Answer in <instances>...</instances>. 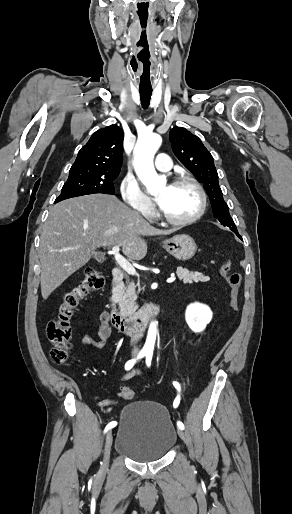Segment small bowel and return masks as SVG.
I'll return each instance as SVG.
<instances>
[{"mask_svg":"<svg viewBox=\"0 0 292 514\" xmlns=\"http://www.w3.org/2000/svg\"><path fill=\"white\" fill-rule=\"evenodd\" d=\"M97 329L98 337L95 338L91 335L84 334L78 338V341L82 345L92 346L98 349L105 347L107 341L112 336L113 328L110 325L109 321V313L108 311H102L99 317V322L95 324ZM134 375V371L128 372L123 375L124 380L130 379ZM116 396H120V393H116ZM91 400H94V397H91ZM97 404L102 406L104 404H108L109 406H117L119 401L117 399H109L108 401L102 400L101 396L97 397Z\"/></svg>","mask_w":292,"mask_h":514,"instance_id":"1","label":"small bowel"}]
</instances>
